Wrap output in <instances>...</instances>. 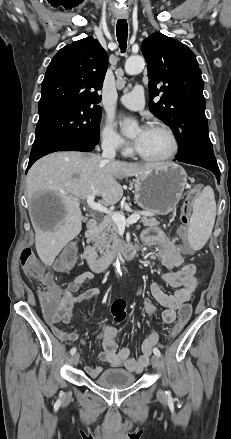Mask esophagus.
<instances>
[{
    "mask_svg": "<svg viewBox=\"0 0 231 439\" xmlns=\"http://www.w3.org/2000/svg\"><path fill=\"white\" fill-rule=\"evenodd\" d=\"M127 17H128V15L126 13H123V14L119 15V18H122V19L127 18Z\"/></svg>",
    "mask_w": 231,
    "mask_h": 439,
    "instance_id": "obj_1",
    "label": "esophagus"
}]
</instances>
